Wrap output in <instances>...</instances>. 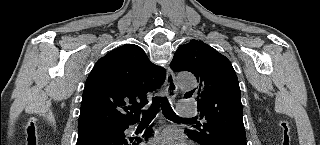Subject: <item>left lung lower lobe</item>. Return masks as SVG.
<instances>
[{"label":"left lung lower lobe","mask_w":320,"mask_h":145,"mask_svg":"<svg viewBox=\"0 0 320 145\" xmlns=\"http://www.w3.org/2000/svg\"><path fill=\"white\" fill-rule=\"evenodd\" d=\"M185 132L187 133V129ZM214 145H246V138L229 134L223 135L216 141Z\"/></svg>","instance_id":"1"}]
</instances>
